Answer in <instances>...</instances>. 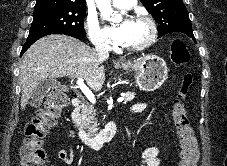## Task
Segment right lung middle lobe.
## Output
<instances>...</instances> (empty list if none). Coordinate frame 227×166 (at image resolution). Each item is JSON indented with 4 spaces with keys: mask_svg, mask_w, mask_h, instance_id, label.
<instances>
[{
    "mask_svg": "<svg viewBox=\"0 0 227 166\" xmlns=\"http://www.w3.org/2000/svg\"><path fill=\"white\" fill-rule=\"evenodd\" d=\"M85 12L86 6L35 5L34 19L27 40L53 33H69L84 38Z\"/></svg>",
    "mask_w": 227,
    "mask_h": 166,
    "instance_id": "obj_1",
    "label": "right lung middle lobe"
}]
</instances>
